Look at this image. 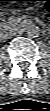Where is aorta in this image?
Here are the masks:
<instances>
[{
  "instance_id": "aorta-1",
  "label": "aorta",
  "mask_w": 50,
  "mask_h": 111,
  "mask_svg": "<svg viewBox=\"0 0 50 111\" xmlns=\"http://www.w3.org/2000/svg\"><path fill=\"white\" fill-rule=\"evenodd\" d=\"M39 34H40V29L35 25H32L27 29V35L29 37H38Z\"/></svg>"
}]
</instances>
